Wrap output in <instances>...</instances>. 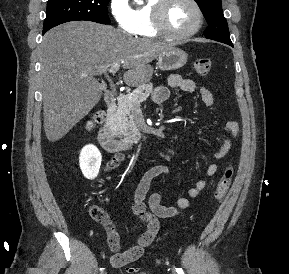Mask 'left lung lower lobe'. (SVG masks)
I'll list each match as a JSON object with an SVG mask.
<instances>
[{
	"label": "left lung lower lobe",
	"instance_id": "obj_1",
	"mask_svg": "<svg viewBox=\"0 0 289 274\" xmlns=\"http://www.w3.org/2000/svg\"><path fill=\"white\" fill-rule=\"evenodd\" d=\"M225 44H228V45H230V46H233V44L230 42V43H225Z\"/></svg>",
	"mask_w": 289,
	"mask_h": 274
}]
</instances>
